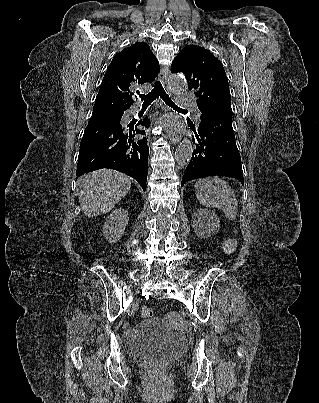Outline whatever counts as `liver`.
<instances>
[{"mask_svg":"<svg viewBox=\"0 0 319 403\" xmlns=\"http://www.w3.org/2000/svg\"><path fill=\"white\" fill-rule=\"evenodd\" d=\"M79 183V202L84 215L88 217L112 210L131 187V180L128 177L110 169L88 173L79 180Z\"/></svg>","mask_w":319,"mask_h":403,"instance_id":"1","label":"liver"}]
</instances>
